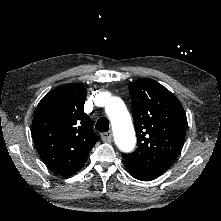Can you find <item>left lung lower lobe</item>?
<instances>
[{
	"label": "left lung lower lobe",
	"mask_w": 221,
	"mask_h": 221,
	"mask_svg": "<svg viewBox=\"0 0 221 221\" xmlns=\"http://www.w3.org/2000/svg\"><path fill=\"white\" fill-rule=\"evenodd\" d=\"M125 164V163H124ZM125 167L127 169V171L129 172V174L136 178V179H139V180H142V181H150V180H153V179H150L148 178L147 176L141 174L139 171L129 167L127 164H125Z\"/></svg>",
	"instance_id": "left-lung-lower-lobe-1"
}]
</instances>
